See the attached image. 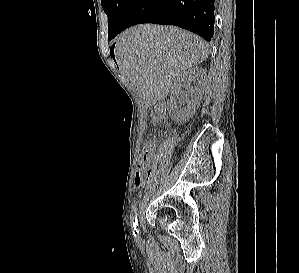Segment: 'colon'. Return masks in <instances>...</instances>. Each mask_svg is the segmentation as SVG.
<instances>
[{"instance_id":"1","label":"colon","mask_w":299,"mask_h":273,"mask_svg":"<svg viewBox=\"0 0 299 273\" xmlns=\"http://www.w3.org/2000/svg\"><path fill=\"white\" fill-rule=\"evenodd\" d=\"M154 148V143L151 140H148L144 146L143 158L142 161L139 163L138 170L136 172V179L137 181L141 179H146L150 175V169L148 166V159L150 154L152 153Z\"/></svg>"}]
</instances>
